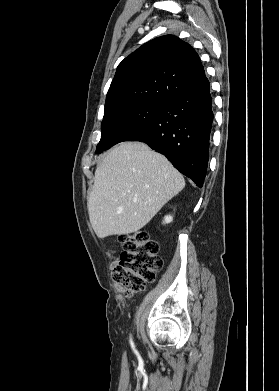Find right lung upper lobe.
Returning <instances> with one entry per match:
<instances>
[{
	"label": "right lung upper lobe",
	"mask_w": 279,
	"mask_h": 391,
	"mask_svg": "<svg viewBox=\"0 0 279 391\" xmlns=\"http://www.w3.org/2000/svg\"><path fill=\"white\" fill-rule=\"evenodd\" d=\"M195 50L174 35L155 38L126 57L117 67L104 113L141 103H165L205 78Z\"/></svg>",
	"instance_id": "obj_1"
}]
</instances>
